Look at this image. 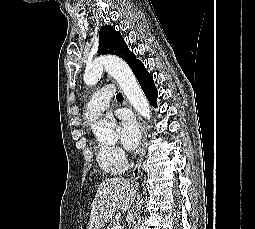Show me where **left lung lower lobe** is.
<instances>
[{
	"instance_id": "0a47b994",
	"label": "left lung lower lobe",
	"mask_w": 255,
	"mask_h": 229,
	"mask_svg": "<svg viewBox=\"0 0 255 229\" xmlns=\"http://www.w3.org/2000/svg\"><path fill=\"white\" fill-rule=\"evenodd\" d=\"M132 71L138 79L140 86L145 93L150 103L156 107V100L158 96L157 89L154 85L153 77L147 72L144 64L141 61H137L132 67Z\"/></svg>"
}]
</instances>
